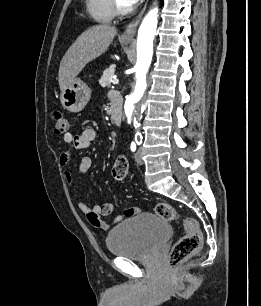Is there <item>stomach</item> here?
I'll list each match as a JSON object with an SVG mask.
<instances>
[{"mask_svg":"<svg viewBox=\"0 0 261 306\" xmlns=\"http://www.w3.org/2000/svg\"><path fill=\"white\" fill-rule=\"evenodd\" d=\"M128 44V41H124ZM91 98L90 87L80 79L74 81L61 91L60 101L62 106L69 112L78 113L84 109Z\"/></svg>","mask_w":261,"mask_h":306,"instance_id":"1","label":"stomach"}]
</instances>
